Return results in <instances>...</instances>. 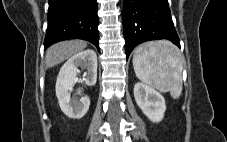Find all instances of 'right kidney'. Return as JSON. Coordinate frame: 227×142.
Returning <instances> with one entry per match:
<instances>
[{
    "mask_svg": "<svg viewBox=\"0 0 227 142\" xmlns=\"http://www.w3.org/2000/svg\"><path fill=\"white\" fill-rule=\"evenodd\" d=\"M78 67L87 70L80 82L94 86L97 81L96 53L87 49L75 54L61 67L58 74L55 88L59 106L65 115L73 119L82 118L90 106V99L87 96L81 97L79 100L71 98L73 86L79 81Z\"/></svg>",
    "mask_w": 227,
    "mask_h": 142,
    "instance_id": "right-kidney-1",
    "label": "right kidney"
}]
</instances>
